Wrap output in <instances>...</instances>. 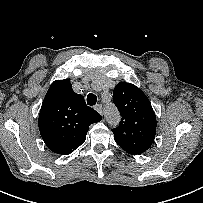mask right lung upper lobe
<instances>
[{"label":"right lung upper lobe","instance_id":"obj_1","mask_svg":"<svg viewBox=\"0 0 203 203\" xmlns=\"http://www.w3.org/2000/svg\"><path fill=\"white\" fill-rule=\"evenodd\" d=\"M102 120L87 106L82 95L73 91L70 80H56L50 86L39 113L41 137L54 153L68 155L86 139L89 126Z\"/></svg>","mask_w":203,"mask_h":203}]
</instances>
